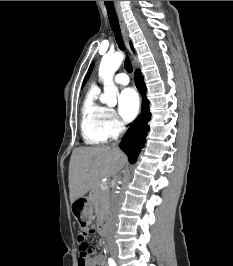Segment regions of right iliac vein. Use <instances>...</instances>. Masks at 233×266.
I'll return each instance as SVG.
<instances>
[{
  "instance_id": "63e3f726",
  "label": "right iliac vein",
  "mask_w": 233,
  "mask_h": 266,
  "mask_svg": "<svg viewBox=\"0 0 233 266\" xmlns=\"http://www.w3.org/2000/svg\"><path fill=\"white\" fill-rule=\"evenodd\" d=\"M111 253H112V256L116 259V258H117V253H116V251H112Z\"/></svg>"
}]
</instances>
